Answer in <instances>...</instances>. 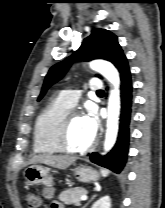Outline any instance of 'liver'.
Returning a JSON list of instances; mask_svg holds the SVG:
<instances>
[{"label": "liver", "mask_w": 165, "mask_h": 208, "mask_svg": "<svg viewBox=\"0 0 165 208\" xmlns=\"http://www.w3.org/2000/svg\"><path fill=\"white\" fill-rule=\"evenodd\" d=\"M76 161L75 157L36 155L30 159L28 164L42 163L57 169L65 170Z\"/></svg>", "instance_id": "1"}]
</instances>
